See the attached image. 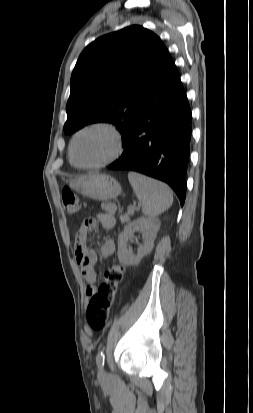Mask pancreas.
Masks as SVG:
<instances>
[{"mask_svg":"<svg viewBox=\"0 0 253 413\" xmlns=\"http://www.w3.org/2000/svg\"><path fill=\"white\" fill-rule=\"evenodd\" d=\"M133 212L131 211V208L128 209V212L124 215L120 216V220L122 223H126L130 220V215H132Z\"/></svg>","mask_w":253,"mask_h":413,"instance_id":"obj_1","label":"pancreas"}]
</instances>
